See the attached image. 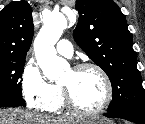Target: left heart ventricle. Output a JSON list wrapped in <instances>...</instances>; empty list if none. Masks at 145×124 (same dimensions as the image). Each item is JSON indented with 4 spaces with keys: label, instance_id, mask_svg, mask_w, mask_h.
<instances>
[{
    "label": "left heart ventricle",
    "instance_id": "left-heart-ventricle-1",
    "mask_svg": "<svg viewBox=\"0 0 145 124\" xmlns=\"http://www.w3.org/2000/svg\"><path fill=\"white\" fill-rule=\"evenodd\" d=\"M60 83L70 90L75 102L84 109L97 108L105 98L104 82L99 73L93 69L80 72L70 69Z\"/></svg>",
    "mask_w": 145,
    "mask_h": 124
}]
</instances>
